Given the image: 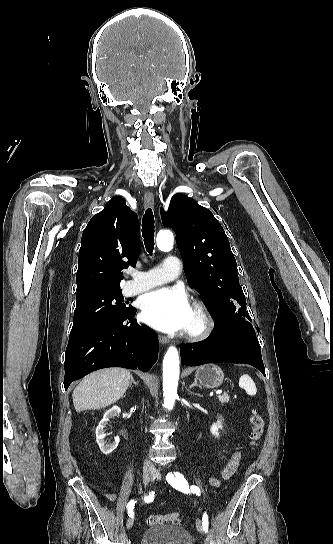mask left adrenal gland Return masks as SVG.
Here are the masks:
<instances>
[{
  "instance_id": "obj_1",
  "label": "left adrenal gland",
  "mask_w": 333,
  "mask_h": 544,
  "mask_svg": "<svg viewBox=\"0 0 333 544\" xmlns=\"http://www.w3.org/2000/svg\"><path fill=\"white\" fill-rule=\"evenodd\" d=\"M194 386H197L199 388H201V386L199 384H197V379L195 378L194 382L189 386V388H193Z\"/></svg>"
}]
</instances>
